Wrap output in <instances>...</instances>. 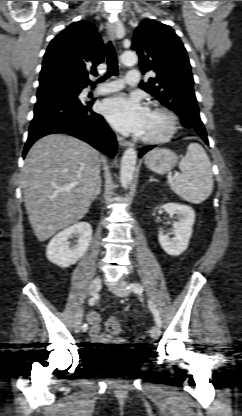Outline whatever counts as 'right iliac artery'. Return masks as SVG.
Listing matches in <instances>:
<instances>
[{
  "instance_id": "obj_1",
  "label": "right iliac artery",
  "mask_w": 242,
  "mask_h": 416,
  "mask_svg": "<svg viewBox=\"0 0 242 416\" xmlns=\"http://www.w3.org/2000/svg\"><path fill=\"white\" fill-rule=\"evenodd\" d=\"M88 303H89L90 306L94 305L95 299L94 298H90L89 301H88ZM87 329H88V325L87 324H83L82 330L83 331H86Z\"/></svg>"
}]
</instances>
